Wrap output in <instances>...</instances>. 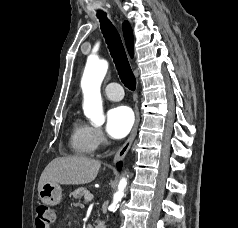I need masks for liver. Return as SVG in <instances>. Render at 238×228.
I'll use <instances>...</instances> for the list:
<instances>
[{
  "label": "liver",
  "mask_w": 238,
  "mask_h": 228,
  "mask_svg": "<svg viewBox=\"0 0 238 228\" xmlns=\"http://www.w3.org/2000/svg\"><path fill=\"white\" fill-rule=\"evenodd\" d=\"M99 160L84 156H67L53 159L44 169L38 183V192L47 183L82 185L92 182L100 169Z\"/></svg>",
  "instance_id": "6515ba94"
}]
</instances>
